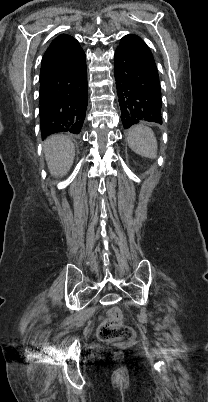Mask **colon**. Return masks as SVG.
<instances>
[{
	"instance_id": "5ec220e1",
	"label": "colon",
	"mask_w": 208,
	"mask_h": 402,
	"mask_svg": "<svg viewBox=\"0 0 208 402\" xmlns=\"http://www.w3.org/2000/svg\"><path fill=\"white\" fill-rule=\"evenodd\" d=\"M131 324H122L120 311L112 309L109 311V318H104L99 324V338L103 341L114 342L123 341L133 336Z\"/></svg>"
}]
</instances>
